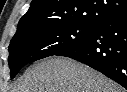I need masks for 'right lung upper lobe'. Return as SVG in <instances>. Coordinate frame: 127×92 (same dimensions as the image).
Here are the masks:
<instances>
[{
  "mask_svg": "<svg viewBox=\"0 0 127 92\" xmlns=\"http://www.w3.org/2000/svg\"><path fill=\"white\" fill-rule=\"evenodd\" d=\"M127 12V0H32L14 37L36 28L98 25Z\"/></svg>",
  "mask_w": 127,
  "mask_h": 92,
  "instance_id": "obj_1",
  "label": "right lung upper lobe"
}]
</instances>
